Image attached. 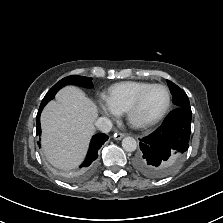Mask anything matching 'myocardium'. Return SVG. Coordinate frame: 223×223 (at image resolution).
<instances>
[{
	"mask_svg": "<svg viewBox=\"0 0 223 223\" xmlns=\"http://www.w3.org/2000/svg\"><path fill=\"white\" fill-rule=\"evenodd\" d=\"M157 87L164 89V91L166 92L167 102L165 104V107L163 108L161 113L153 119L146 120V121L136 120L135 113L138 110V108L140 107L144 97L150 90H152L153 88H157ZM170 105H171V94L169 92V89L163 84H151L150 86H148L147 88L142 90L137 95V97L134 99V101L132 102V104L129 106V108L126 111V118L131 126L138 128V129H146V128H149V127L155 125L156 123H158L166 115V113L168 112V110L170 108Z\"/></svg>",
	"mask_w": 223,
	"mask_h": 223,
	"instance_id": "f54148a6",
	"label": "myocardium"
}]
</instances>
